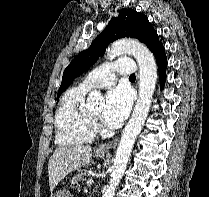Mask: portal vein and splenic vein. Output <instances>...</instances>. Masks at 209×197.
<instances>
[{"label":"portal vein and splenic vein","mask_w":209,"mask_h":197,"mask_svg":"<svg viewBox=\"0 0 209 197\" xmlns=\"http://www.w3.org/2000/svg\"><path fill=\"white\" fill-rule=\"evenodd\" d=\"M92 182H93V181H92L91 179L88 180V181H87V185L90 186V185L92 184Z\"/></svg>","instance_id":"obj_1"}]
</instances>
